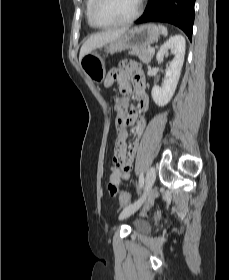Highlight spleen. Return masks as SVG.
<instances>
[{
	"mask_svg": "<svg viewBox=\"0 0 229 280\" xmlns=\"http://www.w3.org/2000/svg\"><path fill=\"white\" fill-rule=\"evenodd\" d=\"M159 28L161 29L162 34L164 36H167V34H168L167 28L165 26H163V25H159Z\"/></svg>",
	"mask_w": 229,
	"mask_h": 280,
	"instance_id": "spleen-1",
	"label": "spleen"
}]
</instances>
